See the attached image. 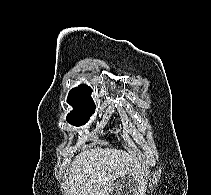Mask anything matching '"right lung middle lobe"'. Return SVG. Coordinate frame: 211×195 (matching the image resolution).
I'll return each mask as SVG.
<instances>
[{
    "mask_svg": "<svg viewBox=\"0 0 211 195\" xmlns=\"http://www.w3.org/2000/svg\"><path fill=\"white\" fill-rule=\"evenodd\" d=\"M70 104V103H69ZM73 110L68 114V123L74 126L84 125L95 111L94 104H70Z\"/></svg>",
    "mask_w": 211,
    "mask_h": 195,
    "instance_id": "obj_1",
    "label": "right lung middle lobe"
}]
</instances>
